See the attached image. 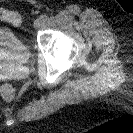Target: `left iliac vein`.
I'll return each instance as SVG.
<instances>
[{
  "mask_svg": "<svg viewBox=\"0 0 133 133\" xmlns=\"http://www.w3.org/2000/svg\"><path fill=\"white\" fill-rule=\"evenodd\" d=\"M43 24H44V21H43V19L41 17L37 18L34 21V27L35 28H40Z\"/></svg>",
  "mask_w": 133,
  "mask_h": 133,
  "instance_id": "1",
  "label": "left iliac vein"
}]
</instances>
